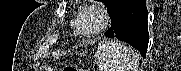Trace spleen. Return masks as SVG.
I'll use <instances>...</instances> for the list:
<instances>
[{
  "mask_svg": "<svg viewBox=\"0 0 181 71\" xmlns=\"http://www.w3.org/2000/svg\"><path fill=\"white\" fill-rule=\"evenodd\" d=\"M100 71H138V57L129 48L101 41L94 55Z\"/></svg>",
  "mask_w": 181,
  "mask_h": 71,
  "instance_id": "1",
  "label": "spleen"
}]
</instances>
